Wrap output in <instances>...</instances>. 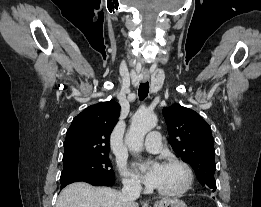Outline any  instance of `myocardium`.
Instances as JSON below:
<instances>
[{
    "instance_id": "obj_1",
    "label": "myocardium",
    "mask_w": 261,
    "mask_h": 207,
    "mask_svg": "<svg viewBox=\"0 0 261 207\" xmlns=\"http://www.w3.org/2000/svg\"><path fill=\"white\" fill-rule=\"evenodd\" d=\"M164 165H175L182 168L185 174V180L183 185L179 189L173 191H164V190L156 189L157 193L165 197H177L186 193L191 188L193 183V173L190 166L186 162L174 158L168 159L164 163Z\"/></svg>"
}]
</instances>
